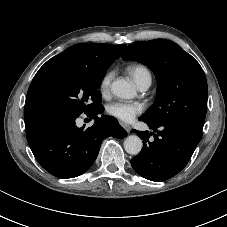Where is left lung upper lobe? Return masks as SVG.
Instances as JSON below:
<instances>
[{
    "label": "left lung upper lobe",
    "instance_id": "left-lung-upper-lobe-1",
    "mask_svg": "<svg viewBox=\"0 0 227 227\" xmlns=\"http://www.w3.org/2000/svg\"><path fill=\"white\" fill-rule=\"evenodd\" d=\"M123 60L147 65L157 79V98L140 118L151 124L178 122L202 130L208 88L203 69L190 54L172 41H139L127 47Z\"/></svg>",
    "mask_w": 227,
    "mask_h": 227
}]
</instances>
